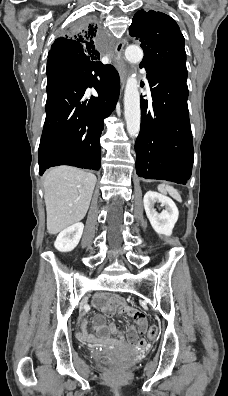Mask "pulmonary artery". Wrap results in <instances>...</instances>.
<instances>
[{
  "label": "pulmonary artery",
  "instance_id": "obj_1",
  "mask_svg": "<svg viewBox=\"0 0 228 396\" xmlns=\"http://www.w3.org/2000/svg\"><path fill=\"white\" fill-rule=\"evenodd\" d=\"M143 80H144V82H145V84H146V89L149 91V90H150V86H149L148 79L146 78L145 75L143 76Z\"/></svg>",
  "mask_w": 228,
  "mask_h": 396
}]
</instances>
